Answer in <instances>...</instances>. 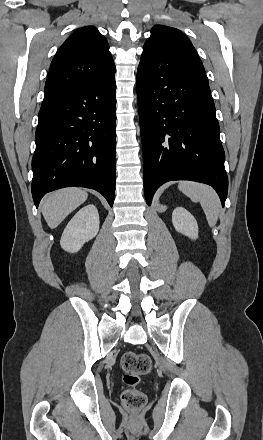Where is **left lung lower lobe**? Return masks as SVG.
<instances>
[{
  "label": "left lung lower lobe",
  "mask_w": 263,
  "mask_h": 440,
  "mask_svg": "<svg viewBox=\"0 0 263 440\" xmlns=\"http://www.w3.org/2000/svg\"><path fill=\"white\" fill-rule=\"evenodd\" d=\"M136 90L147 204L163 183L192 180L211 185L224 206L225 154L208 82L168 59L140 63Z\"/></svg>",
  "instance_id": "1"
}]
</instances>
